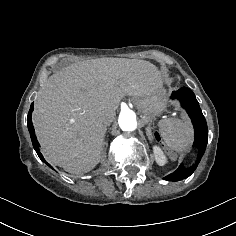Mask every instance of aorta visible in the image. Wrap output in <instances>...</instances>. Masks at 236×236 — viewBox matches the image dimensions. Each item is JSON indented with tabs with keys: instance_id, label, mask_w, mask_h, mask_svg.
<instances>
[{
	"instance_id": "1",
	"label": "aorta",
	"mask_w": 236,
	"mask_h": 236,
	"mask_svg": "<svg viewBox=\"0 0 236 236\" xmlns=\"http://www.w3.org/2000/svg\"><path fill=\"white\" fill-rule=\"evenodd\" d=\"M118 124L123 131H134L138 125L135 112L130 109L121 111Z\"/></svg>"
}]
</instances>
